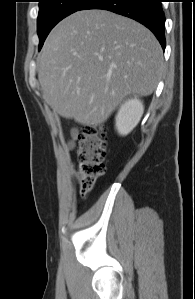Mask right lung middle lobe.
I'll list each match as a JSON object with an SVG mask.
<instances>
[{"instance_id":"obj_1","label":"right lung middle lobe","mask_w":195,"mask_h":299,"mask_svg":"<svg viewBox=\"0 0 195 299\" xmlns=\"http://www.w3.org/2000/svg\"><path fill=\"white\" fill-rule=\"evenodd\" d=\"M88 0H39L38 36L41 49L51 29L66 16L80 10Z\"/></svg>"}]
</instances>
